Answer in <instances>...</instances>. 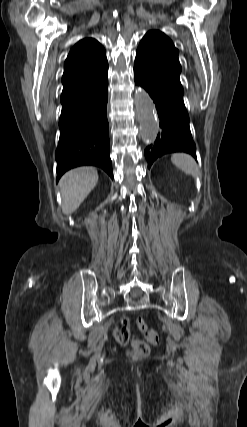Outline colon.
<instances>
[{
    "label": "colon",
    "mask_w": 247,
    "mask_h": 427,
    "mask_svg": "<svg viewBox=\"0 0 247 427\" xmlns=\"http://www.w3.org/2000/svg\"><path fill=\"white\" fill-rule=\"evenodd\" d=\"M137 326L143 333L146 342L140 340H134L131 343V353L138 357L147 356L150 352L149 344H157L159 341V334L149 328L142 318L137 319Z\"/></svg>",
    "instance_id": "obj_1"
}]
</instances>
